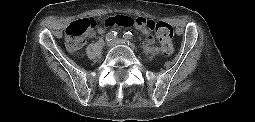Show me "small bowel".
<instances>
[{"mask_svg":"<svg viewBox=\"0 0 255 122\" xmlns=\"http://www.w3.org/2000/svg\"><path fill=\"white\" fill-rule=\"evenodd\" d=\"M113 26V24L110 22V18L106 19L102 25H100L97 29V32L99 34H104L108 29H110ZM147 33V31H145ZM146 42L148 44H153L155 42V38L152 35H147Z\"/></svg>","mask_w":255,"mask_h":122,"instance_id":"1","label":"small bowel"}]
</instances>
